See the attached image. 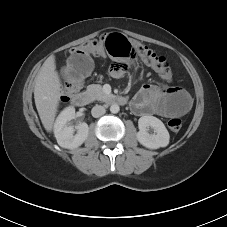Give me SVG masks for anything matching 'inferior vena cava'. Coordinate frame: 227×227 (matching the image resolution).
<instances>
[{
    "label": "inferior vena cava",
    "instance_id": "602c4592",
    "mask_svg": "<svg viewBox=\"0 0 227 227\" xmlns=\"http://www.w3.org/2000/svg\"><path fill=\"white\" fill-rule=\"evenodd\" d=\"M105 112H106L105 108L101 105H96L91 110L92 116L95 118L104 115Z\"/></svg>",
    "mask_w": 227,
    "mask_h": 227
}]
</instances>
